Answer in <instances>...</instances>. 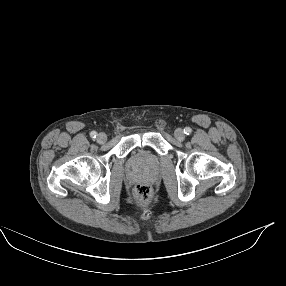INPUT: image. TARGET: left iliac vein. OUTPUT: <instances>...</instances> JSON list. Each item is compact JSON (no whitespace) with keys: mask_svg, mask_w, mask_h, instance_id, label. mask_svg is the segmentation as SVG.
Wrapping results in <instances>:
<instances>
[{"mask_svg":"<svg viewBox=\"0 0 286 286\" xmlns=\"http://www.w3.org/2000/svg\"><path fill=\"white\" fill-rule=\"evenodd\" d=\"M174 136L178 141H183L185 139V133L182 129L178 128L174 132Z\"/></svg>","mask_w":286,"mask_h":286,"instance_id":"obj_1","label":"left iliac vein"}]
</instances>
